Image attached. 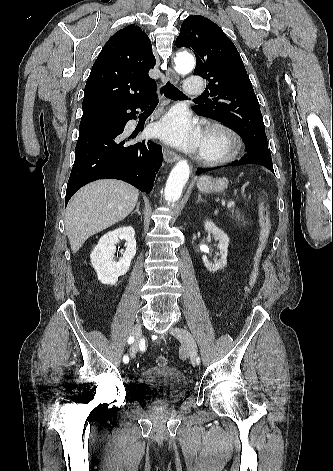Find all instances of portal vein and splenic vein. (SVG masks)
<instances>
[{
  "mask_svg": "<svg viewBox=\"0 0 333 471\" xmlns=\"http://www.w3.org/2000/svg\"><path fill=\"white\" fill-rule=\"evenodd\" d=\"M235 206V201L234 200H230L228 203H227V208H232Z\"/></svg>",
  "mask_w": 333,
  "mask_h": 471,
  "instance_id": "obj_1",
  "label": "portal vein and splenic vein"
}]
</instances>
